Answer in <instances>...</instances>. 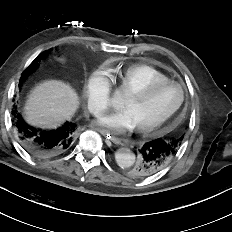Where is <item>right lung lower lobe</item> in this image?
Masks as SVG:
<instances>
[{
    "instance_id": "obj_1",
    "label": "right lung lower lobe",
    "mask_w": 232,
    "mask_h": 232,
    "mask_svg": "<svg viewBox=\"0 0 232 232\" xmlns=\"http://www.w3.org/2000/svg\"><path fill=\"white\" fill-rule=\"evenodd\" d=\"M12 114L15 117L14 126L19 142L31 155L48 159L61 155L71 148L75 124L66 122L54 130H41L28 125L16 110Z\"/></svg>"
}]
</instances>
